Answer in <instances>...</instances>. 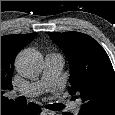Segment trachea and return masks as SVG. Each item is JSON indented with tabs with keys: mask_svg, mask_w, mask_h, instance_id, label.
<instances>
[{
	"mask_svg": "<svg viewBox=\"0 0 115 115\" xmlns=\"http://www.w3.org/2000/svg\"><path fill=\"white\" fill-rule=\"evenodd\" d=\"M17 101L20 103H24L25 102V98L23 96L17 98ZM47 109L53 110V111H60L62 109L65 108V106L63 104L60 103H55V104H49L47 106H45Z\"/></svg>",
	"mask_w": 115,
	"mask_h": 115,
	"instance_id": "1",
	"label": "trachea"
}]
</instances>
